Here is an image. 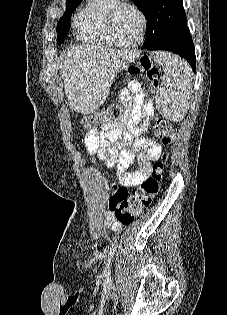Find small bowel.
I'll use <instances>...</instances> for the list:
<instances>
[{"instance_id": "1", "label": "small bowel", "mask_w": 227, "mask_h": 315, "mask_svg": "<svg viewBox=\"0 0 227 315\" xmlns=\"http://www.w3.org/2000/svg\"><path fill=\"white\" fill-rule=\"evenodd\" d=\"M120 97L125 101L132 98V117L122 125L106 126L101 131L91 130L84 137V145L93 165H97L98 159L104 161L108 168H115L122 186L134 187L150 175L152 163L160 158L162 148L155 141L140 137L147 129V124L140 122L141 115L146 110L153 111L140 84L131 81L127 89L121 91ZM135 162L139 169L129 172V167ZM122 226L112 213H107L108 229L117 231Z\"/></svg>"}]
</instances>
